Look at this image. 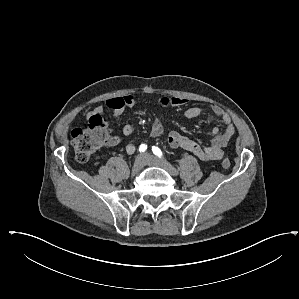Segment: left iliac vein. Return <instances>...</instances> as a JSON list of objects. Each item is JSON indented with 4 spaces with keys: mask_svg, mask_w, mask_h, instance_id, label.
<instances>
[{
    "mask_svg": "<svg viewBox=\"0 0 299 299\" xmlns=\"http://www.w3.org/2000/svg\"><path fill=\"white\" fill-rule=\"evenodd\" d=\"M144 158L147 165L163 168L173 176H176L178 174L177 169L164 160H160L156 157H153L148 153L144 154Z\"/></svg>",
    "mask_w": 299,
    "mask_h": 299,
    "instance_id": "obj_1",
    "label": "left iliac vein"
}]
</instances>
